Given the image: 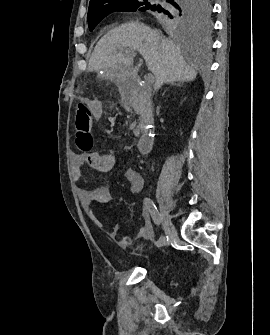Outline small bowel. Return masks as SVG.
Listing matches in <instances>:
<instances>
[{"label":"small bowel","mask_w":270,"mask_h":335,"mask_svg":"<svg viewBox=\"0 0 270 335\" xmlns=\"http://www.w3.org/2000/svg\"><path fill=\"white\" fill-rule=\"evenodd\" d=\"M92 115L94 119L99 120L103 116L102 107L96 102L91 101ZM129 151L125 148L123 152ZM117 161V154L108 153L103 154L99 152H92L89 154H75L72 162L73 177L75 180H81L85 176L87 168L99 172H109L111 171ZM124 176L129 182L131 187V192L137 194L143 188V178L141 174L134 168L128 167L124 170ZM79 196L83 208L88 214L89 218L101 229L106 231L108 236H115L119 226L115 225L111 230H106V226L102 220H100L94 213V204L108 205L112 201L113 197L110 191L104 187H97L92 189L80 188ZM142 215L144 222L137 234L139 238H150L153 234L152 226L149 221V214L146 209H143Z\"/></svg>","instance_id":"c3829d8e"}]
</instances>
